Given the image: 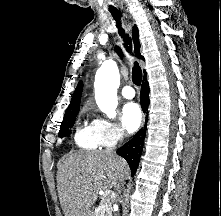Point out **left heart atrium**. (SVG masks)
Returning <instances> with one entry per match:
<instances>
[{
  "label": "left heart atrium",
  "mask_w": 221,
  "mask_h": 216,
  "mask_svg": "<svg viewBox=\"0 0 221 216\" xmlns=\"http://www.w3.org/2000/svg\"><path fill=\"white\" fill-rule=\"evenodd\" d=\"M142 121L140 107L136 103H127L122 109V124L127 132H135Z\"/></svg>",
  "instance_id": "obj_1"
}]
</instances>
